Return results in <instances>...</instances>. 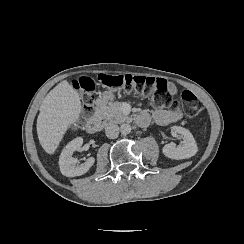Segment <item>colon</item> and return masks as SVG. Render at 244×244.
Wrapping results in <instances>:
<instances>
[{
  "label": "colon",
  "instance_id": "1",
  "mask_svg": "<svg viewBox=\"0 0 244 244\" xmlns=\"http://www.w3.org/2000/svg\"><path fill=\"white\" fill-rule=\"evenodd\" d=\"M98 81L101 85L133 90L127 93L141 97L146 96L158 107H170L174 111H179L180 105H183V112L189 118L197 117L203 107L201 100L188 89L182 91L181 103L174 100L168 91L167 81L162 78L141 75L113 76L103 73L98 76ZM79 87L82 89L85 101L95 99V84L92 80H82Z\"/></svg>",
  "mask_w": 244,
  "mask_h": 244
}]
</instances>
